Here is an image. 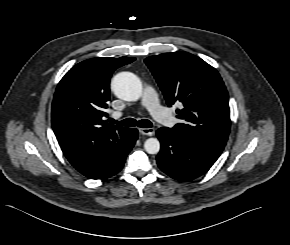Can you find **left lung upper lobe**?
<instances>
[{
	"mask_svg": "<svg viewBox=\"0 0 290 245\" xmlns=\"http://www.w3.org/2000/svg\"><path fill=\"white\" fill-rule=\"evenodd\" d=\"M161 88L168 106L182 120L173 130L177 135L223 151L230 130L229 98L215 68L188 52L165 53L145 59Z\"/></svg>",
	"mask_w": 290,
	"mask_h": 245,
	"instance_id": "left-lung-upper-lobe-1",
	"label": "left lung upper lobe"
}]
</instances>
